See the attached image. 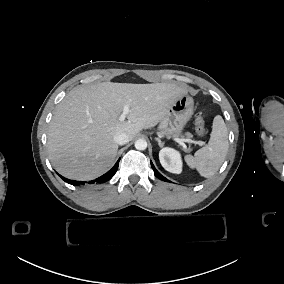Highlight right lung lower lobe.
Masks as SVG:
<instances>
[{"mask_svg": "<svg viewBox=\"0 0 284 284\" xmlns=\"http://www.w3.org/2000/svg\"><path fill=\"white\" fill-rule=\"evenodd\" d=\"M120 160V159H119ZM119 160L116 162V164L112 167V169H110L107 173H105L104 175H102L101 177L92 180L89 182V184H93V183H105L106 181H108L109 179L112 178V176L116 173L117 169H118V164H119ZM64 181H66L69 184L72 185H83L85 182L82 181H75V180H69L67 178L62 177L61 175H59Z\"/></svg>", "mask_w": 284, "mask_h": 284, "instance_id": "obj_1", "label": "right lung lower lobe"}]
</instances>
